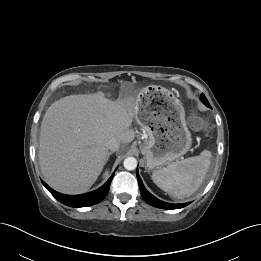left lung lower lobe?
I'll list each match as a JSON object with an SVG mask.
<instances>
[{
  "label": "left lung lower lobe",
  "mask_w": 261,
  "mask_h": 261,
  "mask_svg": "<svg viewBox=\"0 0 261 261\" xmlns=\"http://www.w3.org/2000/svg\"><path fill=\"white\" fill-rule=\"evenodd\" d=\"M137 174V178H138V183H139V189L141 192V195L143 197V199L150 205L157 207V208H161V209H179V208H183L185 206H187L189 203H184V204H170V203H166L163 202L159 199H157L156 197H154L151 193H149L144 185L143 182L138 174V170L136 172Z\"/></svg>",
  "instance_id": "0a47b994"
}]
</instances>
